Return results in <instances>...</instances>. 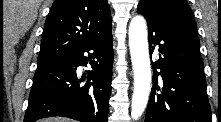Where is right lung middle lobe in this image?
Listing matches in <instances>:
<instances>
[{"label": "right lung middle lobe", "mask_w": 221, "mask_h": 122, "mask_svg": "<svg viewBox=\"0 0 221 122\" xmlns=\"http://www.w3.org/2000/svg\"><path fill=\"white\" fill-rule=\"evenodd\" d=\"M53 61H54V60L38 61V66H37V68L42 67V66H44V65H46V64H48V63H50V62H53Z\"/></svg>", "instance_id": "obj_1"}]
</instances>
